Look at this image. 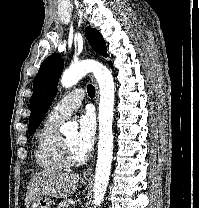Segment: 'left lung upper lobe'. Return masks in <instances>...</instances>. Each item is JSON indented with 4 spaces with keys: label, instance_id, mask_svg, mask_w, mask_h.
<instances>
[{
    "label": "left lung upper lobe",
    "instance_id": "5c2ea615",
    "mask_svg": "<svg viewBox=\"0 0 199 208\" xmlns=\"http://www.w3.org/2000/svg\"><path fill=\"white\" fill-rule=\"evenodd\" d=\"M85 35L97 53L105 57L108 56L106 43L98 30L87 27ZM109 64L112 66L111 62ZM63 68V59L58 54L49 56L40 65L33 82V95L31 97V114L28 126V133L31 135L40 125L56 96L57 83Z\"/></svg>",
    "mask_w": 199,
    "mask_h": 208
}]
</instances>
